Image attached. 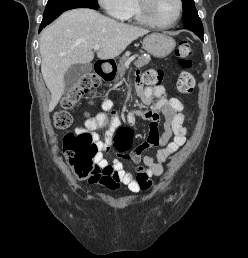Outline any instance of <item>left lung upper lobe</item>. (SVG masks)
<instances>
[{
	"mask_svg": "<svg viewBox=\"0 0 248 258\" xmlns=\"http://www.w3.org/2000/svg\"><path fill=\"white\" fill-rule=\"evenodd\" d=\"M183 3V24L187 27L202 26L194 5V0H182Z\"/></svg>",
	"mask_w": 248,
	"mask_h": 258,
	"instance_id": "5c2ea615",
	"label": "left lung upper lobe"
}]
</instances>
